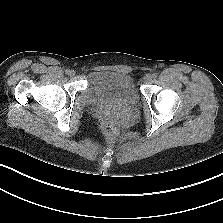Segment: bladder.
Returning a JSON list of instances; mask_svg holds the SVG:
<instances>
[{"mask_svg": "<svg viewBox=\"0 0 223 223\" xmlns=\"http://www.w3.org/2000/svg\"><path fill=\"white\" fill-rule=\"evenodd\" d=\"M83 97L88 104L111 102L135 106L139 101L132 77L113 71L91 73L83 91Z\"/></svg>", "mask_w": 223, "mask_h": 223, "instance_id": "obj_1", "label": "bladder"}]
</instances>
